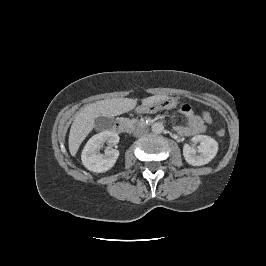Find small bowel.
Returning <instances> with one entry per match:
<instances>
[{
    "label": "small bowel",
    "mask_w": 266,
    "mask_h": 266,
    "mask_svg": "<svg viewBox=\"0 0 266 266\" xmlns=\"http://www.w3.org/2000/svg\"><path fill=\"white\" fill-rule=\"evenodd\" d=\"M180 113L186 118V125L175 126V131L181 136H194L205 131L206 126L202 118L197 115L192 106L184 104L180 108Z\"/></svg>",
    "instance_id": "1"
}]
</instances>
